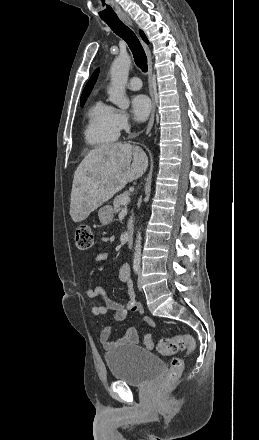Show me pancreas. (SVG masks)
I'll use <instances>...</instances> for the list:
<instances>
[{
    "instance_id": "1",
    "label": "pancreas",
    "mask_w": 259,
    "mask_h": 440,
    "mask_svg": "<svg viewBox=\"0 0 259 440\" xmlns=\"http://www.w3.org/2000/svg\"><path fill=\"white\" fill-rule=\"evenodd\" d=\"M129 197V193L128 192H124L120 195H117L113 201V205H114V212L118 213L121 210V206L123 205L122 203V199ZM133 220V216L130 217L129 219V224L132 223Z\"/></svg>"
}]
</instances>
